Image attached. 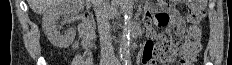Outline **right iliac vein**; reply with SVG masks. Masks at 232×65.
I'll return each instance as SVG.
<instances>
[{
    "label": "right iliac vein",
    "mask_w": 232,
    "mask_h": 65,
    "mask_svg": "<svg viewBox=\"0 0 232 65\" xmlns=\"http://www.w3.org/2000/svg\"><path fill=\"white\" fill-rule=\"evenodd\" d=\"M101 65H109V64H101Z\"/></svg>",
    "instance_id": "1"
}]
</instances>
